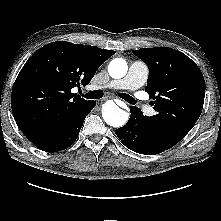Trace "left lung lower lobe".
<instances>
[{"instance_id":"obj_1","label":"left lung lower lobe","mask_w":221,"mask_h":221,"mask_svg":"<svg viewBox=\"0 0 221 221\" xmlns=\"http://www.w3.org/2000/svg\"><path fill=\"white\" fill-rule=\"evenodd\" d=\"M130 112L127 124L115 130L122 144L134 152L146 155L157 154L173 147L163 141L139 108L131 106Z\"/></svg>"}]
</instances>
